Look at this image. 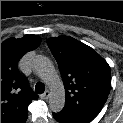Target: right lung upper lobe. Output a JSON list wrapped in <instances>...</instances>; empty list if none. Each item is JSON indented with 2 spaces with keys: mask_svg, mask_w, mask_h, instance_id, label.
<instances>
[{
  "mask_svg": "<svg viewBox=\"0 0 123 123\" xmlns=\"http://www.w3.org/2000/svg\"><path fill=\"white\" fill-rule=\"evenodd\" d=\"M41 43L37 35L9 38L1 44V123H25L28 105L38 96L18 71V61Z\"/></svg>",
  "mask_w": 123,
  "mask_h": 123,
  "instance_id": "cb5924a9",
  "label": "right lung upper lobe"
}]
</instances>
